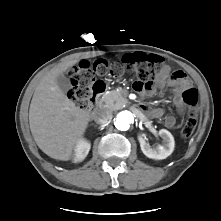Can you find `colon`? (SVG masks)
I'll list each match as a JSON object with an SVG mask.
<instances>
[{
  "label": "colon",
  "mask_w": 221,
  "mask_h": 221,
  "mask_svg": "<svg viewBox=\"0 0 221 221\" xmlns=\"http://www.w3.org/2000/svg\"><path fill=\"white\" fill-rule=\"evenodd\" d=\"M162 62L160 57L146 53H137L125 63L105 60H97L93 63L81 62L69 71L72 84L69 96L79 107L85 108L95 75L119 77L126 70L134 74L135 86L138 90H150L158 77ZM181 97L189 109L181 133L183 137L188 138L193 134L197 123L198 91L194 87H185L182 89Z\"/></svg>",
  "instance_id": "1"
}]
</instances>
